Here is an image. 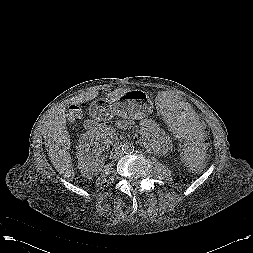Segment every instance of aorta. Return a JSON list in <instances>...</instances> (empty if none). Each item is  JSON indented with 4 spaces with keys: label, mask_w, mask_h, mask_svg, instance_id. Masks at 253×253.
<instances>
[{
    "label": "aorta",
    "mask_w": 253,
    "mask_h": 253,
    "mask_svg": "<svg viewBox=\"0 0 253 253\" xmlns=\"http://www.w3.org/2000/svg\"><path fill=\"white\" fill-rule=\"evenodd\" d=\"M133 150H134V147L131 143L126 142L122 145V151L124 153H131V152H133ZM152 151H154V150H152Z\"/></svg>",
    "instance_id": "762f6f07"
}]
</instances>
